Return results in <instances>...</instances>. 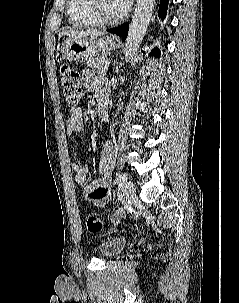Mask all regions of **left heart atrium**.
Returning <instances> with one entry per match:
<instances>
[{
    "instance_id": "obj_1",
    "label": "left heart atrium",
    "mask_w": 239,
    "mask_h": 303,
    "mask_svg": "<svg viewBox=\"0 0 239 303\" xmlns=\"http://www.w3.org/2000/svg\"><path fill=\"white\" fill-rule=\"evenodd\" d=\"M116 1L124 11H127L132 4V0H116Z\"/></svg>"
}]
</instances>
